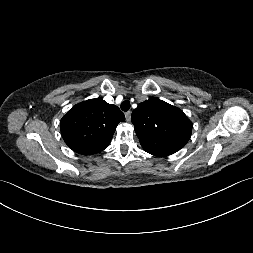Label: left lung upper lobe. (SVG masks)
<instances>
[{"label": "left lung upper lobe", "mask_w": 253, "mask_h": 253, "mask_svg": "<svg viewBox=\"0 0 253 253\" xmlns=\"http://www.w3.org/2000/svg\"><path fill=\"white\" fill-rule=\"evenodd\" d=\"M131 121L141 146L155 156L177 152L191 137L192 122L184 112L157 98L140 103Z\"/></svg>", "instance_id": "1"}]
</instances>
